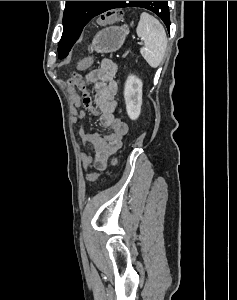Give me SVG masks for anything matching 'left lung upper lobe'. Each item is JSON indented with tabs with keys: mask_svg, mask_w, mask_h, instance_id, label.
<instances>
[{
	"mask_svg": "<svg viewBox=\"0 0 237 300\" xmlns=\"http://www.w3.org/2000/svg\"><path fill=\"white\" fill-rule=\"evenodd\" d=\"M168 2V1H167ZM110 1H66L63 15V34L58 43L59 58H65L78 40L85 25L102 14ZM141 7L154 12L170 27L169 7L160 8V1H120V8Z\"/></svg>",
	"mask_w": 237,
	"mask_h": 300,
	"instance_id": "obj_1",
	"label": "left lung upper lobe"
}]
</instances>
